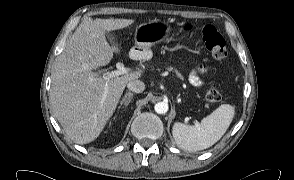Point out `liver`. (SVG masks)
I'll return each instance as SVG.
<instances>
[{
	"label": "liver",
	"mask_w": 294,
	"mask_h": 180,
	"mask_svg": "<svg viewBox=\"0 0 294 180\" xmlns=\"http://www.w3.org/2000/svg\"><path fill=\"white\" fill-rule=\"evenodd\" d=\"M133 22V19L85 18L55 60L50 102L64 131L77 144L90 143L99 136L127 83L141 75V71H131L104 80L94 71L108 65L114 52H120L117 45L110 46L107 42L106 33Z\"/></svg>",
	"instance_id": "obj_1"
}]
</instances>
